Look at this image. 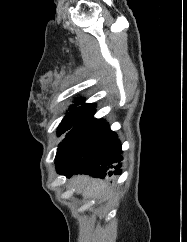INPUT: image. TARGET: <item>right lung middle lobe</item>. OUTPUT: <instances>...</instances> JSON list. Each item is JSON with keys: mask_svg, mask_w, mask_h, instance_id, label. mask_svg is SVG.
Instances as JSON below:
<instances>
[{"mask_svg": "<svg viewBox=\"0 0 187 242\" xmlns=\"http://www.w3.org/2000/svg\"><path fill=\"white\" fill-rule=\"evenodd\" d=\"M94 113V107L72 106L60 123L57 131V136H60L63 133L67 135L70 132L91 124L93 121L97 120L93 116Z\"/></svg>", "mask_w": 187, "mask_h": 242, "instance_id": "obj_1", "label": "right lung middle lobe"}]
</instances>
